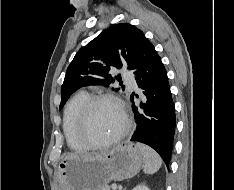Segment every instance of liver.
<instances>
[{"label": "liver", "mask_w": 234, "mask_h": 190, "mask_svg": "<svg viewBox=\"0 0 234 190\" xmlns=\"http://www.w3.org/2000/svg\"><path fill=\"white\" fill-rule=\"evenodd\" d=\"M74 156H76V155H69V156H67V157H74Z\"/></svg>", "instance_id": "obj_1"}]
</instances>
